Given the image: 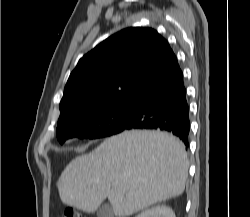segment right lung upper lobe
I'll use <instances>...</instances> for the list:
<instances>
[{"label":"right lung upper lobe","instance_id":"obj_1","mask_svg":"<svg viewBox=\"0 0 250 217\" xmlns=\"http://www.w3.org/2000/svg\"><path fill=\"white\" fill-rule=\"evenodd\" d=\"M178 66L168 42L155 30L124 29L79 60L65 86L58 122L85 109L135 99Z\"/></svg>","mask_w":250,"mask_h":217}]
</instances>
